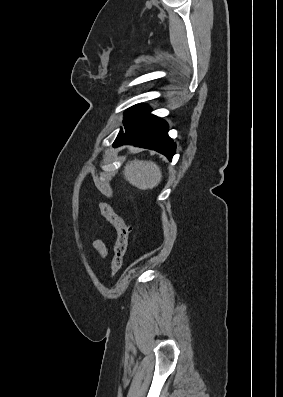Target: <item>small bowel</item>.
<instances>
[{
    "mask_svg": "<svg viewBox=\"0 0 283 397\" xmlns=\"http://www.w3.org/2000/svg\"><path fill=\"white\" fill-rule=\"evenodd\" d=\"M93 247L98 251V253L102 258H104L107 255V247L103 241L101 240L94 241Z\"/></svg>",
    "mask_w": 283,
    "mask_h": 397,
    "instance_id": "1",
    "label": "small bowel"
}]
</instances>
